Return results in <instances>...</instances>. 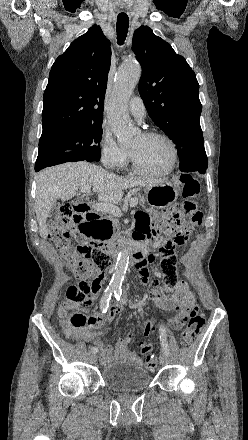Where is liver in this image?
Listing matches in <instances>:
<instances>
[{"mask_svg": "<svg viewBox=\"0 0 248 440\" xmlns=\"http://www.w3.org/2000/svg\"><path fill=\"white\" fill-rule=\"evenodd\" d=\"M164 180H146L120 177L91 163L80 161L64 163L40 171L36 178L35 212L40 236L49 234L46 219L58 199H71L79 189L92 187L98 199L104 203L117 204L124 190L136 186L148 187Z\"/></svg>", "mask_w": 248, "mask_h": 440, "instance_id": "liver-1", "label": "liver"}]
</instances>
